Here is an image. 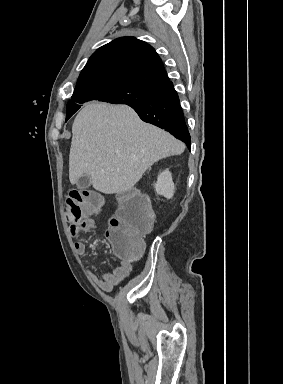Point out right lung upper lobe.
<instances>
[{"instance_id":"right-lung-upper-lobe-1","label":"right lung upper lobe","mask_w":283,"mask_h":384,"mask_svg":"<svg viewBox=\"0 0 283 384\" xmlns=\"http://www.w3.org/2000/svg\"><path fill=\"white\" fill-rule=\"evenodd\" d=\"M167 81L169 77L153 47L134 37H122L92 54L75 89L121 83L154 92Z\"/></svg>"}]
</instances>
